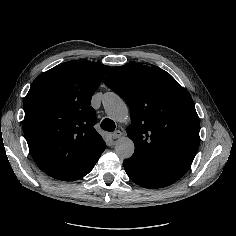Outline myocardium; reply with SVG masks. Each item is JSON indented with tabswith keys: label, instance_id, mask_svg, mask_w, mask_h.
<instances>
[{
	"label": "myocardium",
	"instance_id": "myocardium-1",
	"mask_svg": "<svg viewBox=\"0 0 236 236\" xmlns=\"http://www.w3.org/2000/svg\"><path fill=\"white\" fill-rule=\"evenodd\" d=\"M127 117H128V116L124 117V119H123V120H125Z\"/></svg>",
	"mask_w": 236,
	"mask_h": 236
}]
</instances>
